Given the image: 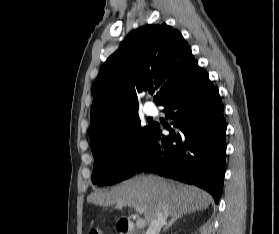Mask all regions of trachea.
<instances>
[{
  "instance_id": "obj_1",
  "label": "trachea",
  "mask_w": 279,
  "mask_h": 234,
  "mask_svg": "<svg viewBox=\"0 0 279 234\" xmlns=\"http://www.w3.org/2000/svg\"><path fill=\"white\" fill-rule=\"evenodd\" d=\"M149 92L152 94L154 92V90H150Z\"/></svg>"
}]
</instances>
